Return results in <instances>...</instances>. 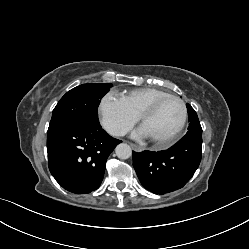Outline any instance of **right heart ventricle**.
<instances>
[{
  "mask_svg": "<svg viewBox=\"0 0 249 249\" xmlns=\"http://www.w3.org/2000/svg\"><path fill=\"white\" fill-rule=\"evenodd\" d=\"M167 95V92L156 88H139L122 93L120 98L130 111L139 117L145 107Z\"/></svg>",
  "mask_w": 249,
  "mask_h": 249,
  "instance_id": "e07e8e85",
  "label": "right heart ventricle"
}]
</instances>
